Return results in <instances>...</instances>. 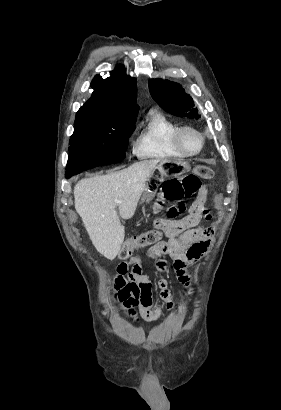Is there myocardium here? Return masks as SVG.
Returning <instances> with one entry per match:
<instances>
[{
    "mask_svg": "<svg viewBox=\"0 0 281 410\" xmlns=\"http://www.w3.org/2000/svg\"><path fill=\"white\" fill-rule=\"evenodd\" d=\"M188 132L195 133L200 139V146L196 150H189L184 143V136ZM205 142L204 134L194 126H180L174 134V144L185 156H195L200 154L205 147Z\"/></svg>",
    "mask_w": 281,
    "mask_h": 410,
    "instance_id": "f54148a6",
    "label": "myocardium"
}]
</instances>
